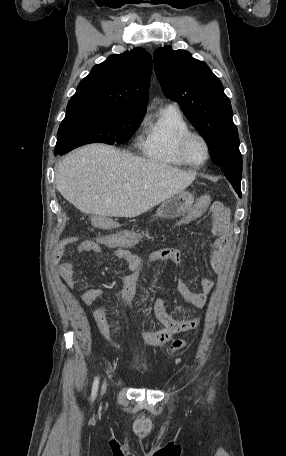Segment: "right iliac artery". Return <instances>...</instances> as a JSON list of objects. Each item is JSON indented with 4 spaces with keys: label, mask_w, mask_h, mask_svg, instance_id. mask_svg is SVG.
Here are the masks:
<instances>
[{
    "label": "right iliac artery",
    "mask_w": 286,
    "mask_h": 456,
    "mask_svg": "<svg viewBox=\"0 0 286 456\" xmlns=\"http://www.w3.org/2000/svg\"><path fill=\"white\" fill-rule=\"evenodd\" d=\"M99 378L96 377L92 387L91 399L94 400L98 390Z\"/></svg>",
    "instance_id": "82829eb1"
}]
</instances>
